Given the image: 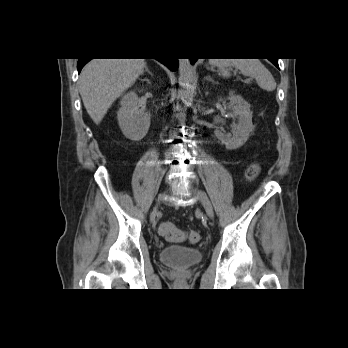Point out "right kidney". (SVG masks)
I'll list each match as a JSON object with an SVG mask.
<instances>
[{
    "label": "right kidney",
    "mask_w": 348,
    "mask_h": 348,
    "mask_svg": "<svg viewBox=\"0 0 348 348\" xmlns=\"http://www.w3.org/2000/svg\"><path fill=\"white\" fill-rule=\"evenodd\" d=\"M120 105L117 119L122 133L132 141H140L149 130L150 114L138 109V95L135 91L125 94Z\"/></svg>",
    "instance_id": "obj_1"
}]
</instances>
